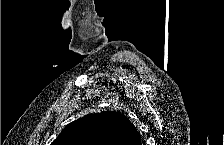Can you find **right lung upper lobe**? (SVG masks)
Here are the masks:
<instances>
[{
	"label": "right lung upper lobe",
	"mask_w": 224,
	"mask_h": 145,
	"mask_svg": "<svg viewBox=\"0 0 224 145\" xmlns=\"http://www.w3.org/2000/svg\"><path fill=\"white\" fill-rule=\"evenodd\" d=\"M51 145H141V136L125 115L103 111L68 124Z\"/></svg>",
	"instance_id": "obj_1"
}]
</instances>
